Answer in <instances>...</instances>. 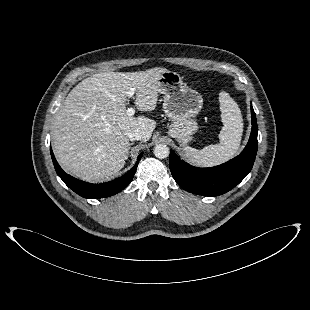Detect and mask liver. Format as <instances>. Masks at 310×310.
Returning a JSON list of instances; mask_svg holds the SVG:
<instances>
[{
  "label": "liver",
  "mask_w": 310,
  "mask_h": 310,
  "mask_svg": "<svg viewBox=\"0 0 310 310\" xmlns=\"http://www.w3.org/2000/svg\"><path fill=\"white\" fill-rule=\"evenodd\" d=\"M156 67L145 71L98 73L82 80L67 95L53 129V148L62 167L89 182L115 177L128 158V133L138 130L146 142L156 122L126 113L127 93L135 88L139 111L156 108L160 76Z\"/></svg>",
  "instance_id": "1"
}]
</instances>
